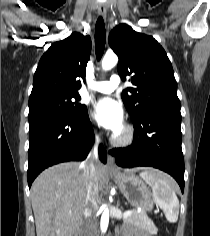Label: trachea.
I'll return each mask as SVG.
<instances>
[{
	"instance_id": "1",
	"label": "trachea",
	"mask_w": 210,
	"mask_h": 236,
	"mask_svg": "<svg viewBox=\"0 0 210 236\" xmlns=\"http://www.w3.org/2000/svg\"><path fill=\"white\" fill-rule=\"evenodd\" d=\"M105 24L102 17H99L96 22L95 27V50H96V57L99 61L103 55L104 48H105Z\"/></svg>"
}]
</instances>
